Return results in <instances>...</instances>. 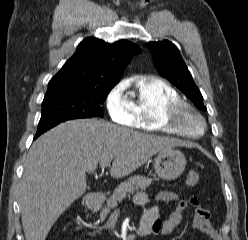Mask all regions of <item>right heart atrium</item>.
Wrapping results in <instances>:
<instances>
[{"label":"right heart atrium","mask_w":248,"mask_h":240,"mask_svg":"<svg viewBox=\"0 0 248 240\" xmlns=\"http://www.w3.org/2000/svg\"><path fill=\"white\" fill-rule=\"evenodd\" d=\"M105 107L114 122L129 127L135 126L136 118L124 82L117 83L108 91L105 97Z\"/></svg>","instance_id":"1"}]
</instances>
